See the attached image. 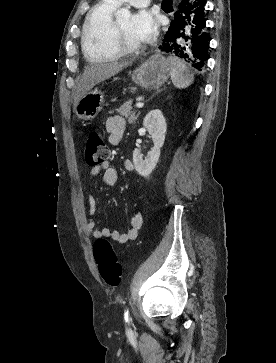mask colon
<instances>
[{"label": "colon", "mask_w": 276, "mask_h": 363, "mask_svg": "<svg viewBox=\"0 0 276 363\" xmlns=\"http://www.w3.org/2000/svg\"><path fill=\"white\" fill-rule=\"evenodd\" d=\"M107 157L108 148L101 135L91 131L86 138V162L90 166H99L106 162ZM93 256L103 280L110 286H117L122 279V269L112 244L103 238L96 240Z\"/></svg>", "instance_id": "5ec220e1"}]
</instances>
